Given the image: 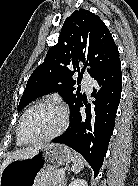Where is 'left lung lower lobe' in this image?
Instances as JSON below:
<instances>
[{
  "mask_svg": "<svg viewBox=\"0 0 138 186\" xmlns=\"http://www.w3.org/2000/svg\"><path fill=\"white\" fill-rule=\"evenodd\" d=\"M95 79L88 104L81 98L71 108V119L67 132L52 140L63 143L79 152L90 164L96 177L103 165L110 137L114 130L115 117L121 98L122 74L120 59L113 62ZM85 107V113H80Z\"/></svg>",
  "mask_w": 138,
  "mask_h": 186,
  "instance_id": "left-lung-lower-lobe-1",
  "label": "left lung lower lobe"
}]
</instances>
